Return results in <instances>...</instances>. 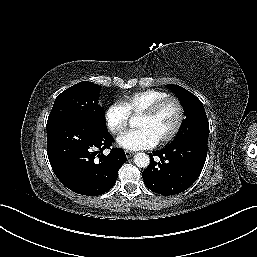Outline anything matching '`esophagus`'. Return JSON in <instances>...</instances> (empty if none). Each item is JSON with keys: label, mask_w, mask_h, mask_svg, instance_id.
I'll return each mask as SVG.
<instances>
[{"label": "esophagus", "mask_w": 257, "mask_h": 257, "mask_svg": "<svg viewBox=\"0 0 257 257\" xmlns=\"http://www.w3.org/2000/svg\"><path fill=\"white\" fill-rule=\"evenodd\" d=\"M135 153L133 151H129V150H125V155L127 158H130L131 156H133Z\"/></svg>", "instance_id": "1"}]
</instances>
